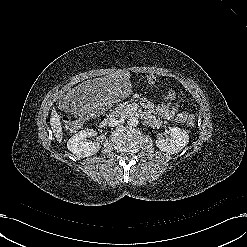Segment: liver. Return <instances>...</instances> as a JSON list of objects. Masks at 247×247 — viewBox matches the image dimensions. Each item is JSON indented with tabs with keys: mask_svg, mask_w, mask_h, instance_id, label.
<instances>
[{
	"mask_svg": "<svg viewBox=\"0 0 247 247\" xmlns=\"http://www.w3.org/2000/svg\"><path fill=\"white\" fill-rule=\"evenodd\" d=\"M50 126L53 131V134L58 142H62L63 132H62V123L61 117L57 114L56 110L53 109L50 116Z\"/></svg>",
	"mask_w": 247,
	"mask_h": 247,
	"instance_id": "1",
	"label": "liver"
}]
</instances>
